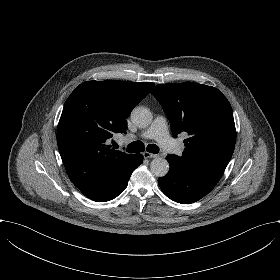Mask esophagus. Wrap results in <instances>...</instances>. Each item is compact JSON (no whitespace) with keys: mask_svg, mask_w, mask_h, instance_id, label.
Instances as JSON below:
<instances>
[{"mask_svg":"<svg viewBox=\"0 0 280 280\" xmlns=\"http://www.w3.org/2000/svg\"><path fill=\"white\" fill-rule=\"evenodd\" d=\"M143 157L144 158H156V157H158V154H152L150 152H144Z\"/></svg>","mask_w":280,"mask_h":280,"instance_id":"34e87169","label":"esophagus"}]
</instances>
